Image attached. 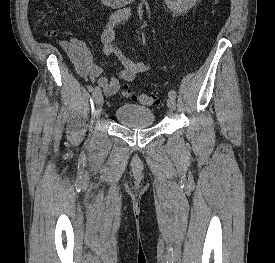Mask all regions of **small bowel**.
Masks as SVG:
<instances>
[{
    "label": "small bowel",
    "mask_w": 275,
    "mask_h": 263,
    "mask_svg": "<svg viewBox=\"0 0 275 263\" xmlns=\"http://www.w3.org/2000/svg\"><path fill=\"white\" fill-rule=\"evenodd\" d=\"M133 17L130 9L119 10L113 14L101 33L103 53L109 58L118 61L119 69L116 76H104L103 69L97 65L88 45L81 39L70 36L68 39L59 40L58 44L63 52L74 64L77 74L95 83L98 89H102L106 97H111L120 89L121 82H132L139 74H150L152 64L150 62H137L127 57L115 40V28Z\"/></svg>",
    "instance_id": "c3829d8e"
}]
</instances>
